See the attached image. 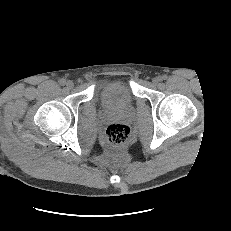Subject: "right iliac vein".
<instances>
[{
  "instance_id": "obj_1",
  "label": "right iliac vein",
  "mask_w": 231,
  "mask_h": 231,
  "mask_svg": "<svg viewBox=\"0 0 231 231\" xmlns=\"http://www.w3.org/2000/svg\"><path fill=\"white\" fill-rule=\"evenodd\" d=\"M66 86H67L68 88H73L74 83H73L71 80H69V81L66 82Z\"/></svg>"
}]
</instances>
